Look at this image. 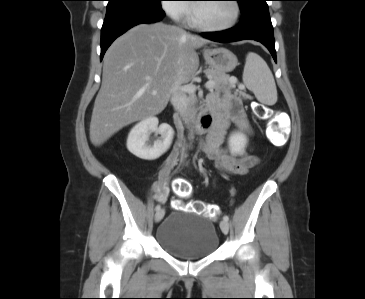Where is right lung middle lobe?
<instances>
[{
    "mask_svg": "<svg viewBox=\"0 0 365 299\" xmlns=\"http://www.w3.org/2000/svg\"><path fill=\"white\" fill-rule=\"evenodd\" d=\"M107 11L130 5L161 6L162 0H108Z\"/></svg>",
    "mask_w": 365,
    "mask_h": 299,
    "instance_id": "obj_1",
    "label": "right lung middle lobe"
}]
</instances>
